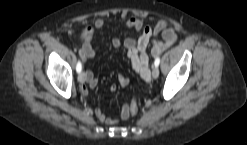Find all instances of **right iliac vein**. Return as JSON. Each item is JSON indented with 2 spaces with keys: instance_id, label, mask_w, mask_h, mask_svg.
I'll list each match as a JSON object with an SVG mask.
<instances>
[{
  "instance_id": "1",
  "label": "right iliac vein",
  "mask_w": 247,
  "mask_h": 145,
  "mask_svg": "<svg viewBox=\"0 0 247 145\" xmlns=\"http://www.w3.org/2000/svg\"><path fill=\"white\" fill-rule=\"evenodd\" d=\"M85 80H86L85 72H84V71H83V72H80L79 75H78V81H79L80 83H84Z\"/></svg>"
}]
</instances>
